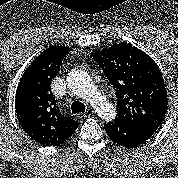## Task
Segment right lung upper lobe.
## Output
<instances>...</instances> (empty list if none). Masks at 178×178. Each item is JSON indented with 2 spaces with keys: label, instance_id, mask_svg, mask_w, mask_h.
Instances as JSON below:
<instances>
[{
  "label": "right lung upper lobe",
  "instance_id": "obj_1",
  "mask_svg": "<svg viewBox=\"0 0 178 178\" xmlns=\"http://www.w3.org/2000/svg\"><path fill=\"white\" fill-rule=\"evenodd\" d=\"M69 51L63 46H52L43 51L26 69L17 87L18 121L32 140L44 146H59L79 125L60 112L50 88Z\"/></svg>",
  "mask_w": 178,
  "mask_h": 178
}]
</instances>
